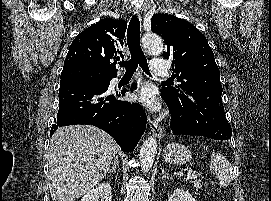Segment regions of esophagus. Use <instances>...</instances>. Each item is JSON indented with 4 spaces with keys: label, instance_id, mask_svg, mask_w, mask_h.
<instances>
[{
    "label": "esophagus",
    "instance_id": "esophagus-1",
    "mask_svg": "<svg viewBox=\"0 0 271 201\" xmlns=\"http://www.w3.org/2000/svg\"><path fill=\"white\" fill-rule=\"evenodd\" d=\"M132 13L136 15L139 19H141L142 11L140 9L133 8ZM147 120H148V124L150 126V130L152 134L158 139H161L163 136L162 127L158 123H156L154 120H152L149 116L147 117Z\"/></svg>",
    "mask_w": 271,
    "mask_h": 201
}]
</instances>
